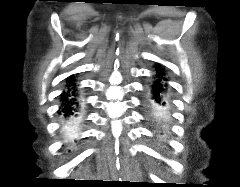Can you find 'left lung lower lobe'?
Masks as SVG:
<instances>
[{"label":"left lung lower lobe","instance_id":"obj_1","mask_svg":"<svg viewBox=\"0 0 240 187\" xmlns=\"http://www.w3.org/2000/svg\"><path fill=\"white\" fill-rule=\"evenodd\" d=\"M168 79L163 69L156 66L153 80L146 88L144 108L151 119L163 122L169 118L170 96Z\"/></svg>","mask_w":240,"mask_h":187}]
</instances>
